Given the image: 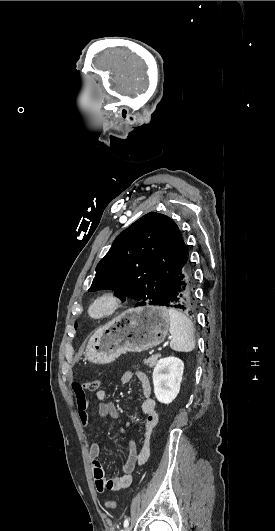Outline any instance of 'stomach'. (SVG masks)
Wrapping results in <instances>:
<instances>
[{
	"label": "stomach",
	"instance_id": "0dacf381",
	"mask_svg": "<svg viewBox=\"0 0 275 531\" xmlns=\"http://www.w3.org/2000/svg\"><path fill=\"white\" fill-rule=\"evenodd\" d=\"M170 325L168 309L159 301H143L127 309L90 337L84 357L94 365L112 363L119 355L141 353L163 343Z\"/></svg>",
	"mask_w": 275,
	"mask_h": 531
}]
</instances>
